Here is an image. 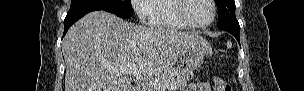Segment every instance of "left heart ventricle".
<instances>
[{
    "label": "left heart ventricle",
    "mask_w": 304,
    "mask_h": 91,
    "mask_svg": "<svg viewBox=\"0 0 304 91\" xmlns=\"http://www.w3.org/2000/svg\"><path fill=\"white\" fill-rule=\"evenodd\" d=\"M187 15L195 24H206L212 18V8L207 0H190Z\"/></svg>",
    "instance_id": "obj_1"
}]
</instances>
